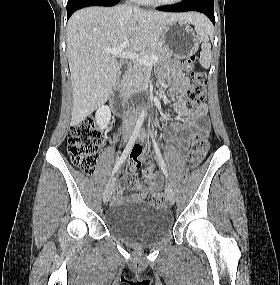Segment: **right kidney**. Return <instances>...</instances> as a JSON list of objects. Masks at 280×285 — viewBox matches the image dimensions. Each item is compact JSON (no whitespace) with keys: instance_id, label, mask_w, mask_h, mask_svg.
<instances>
[{"instance_id":"right-kidney-1","label":"right kidney","mask_w":280,"mask_h":285,"mask_svg":"<svg viewBox=\"0 0 280 285\" xmlns=\"http://www.w3.org/2000/svg\"><path fill=\"white\" fill-rule=\"evenodd\" d=\"M111 118V111L108 106H100L95 114L96 123L101 130L107 128Z\"/></svg>"}]
</instances>
